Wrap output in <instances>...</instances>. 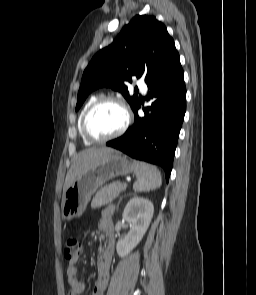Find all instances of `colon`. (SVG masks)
<instances>
[{"mask_svg":"<svg viewBox=\"0 0 256 295\" xmlns=\"http://www.w3.org/2000/svg\"><path fill=\"white\" fill-rule=\"evenodd\" d=\"M82 246L77 236H70L65 241L64 258L73 260L77 258L81 252Z\"/></svg>","mask_w":256,"mask_h":295,"instance_id":"colon-1","label":"colon"}]
</instances>
